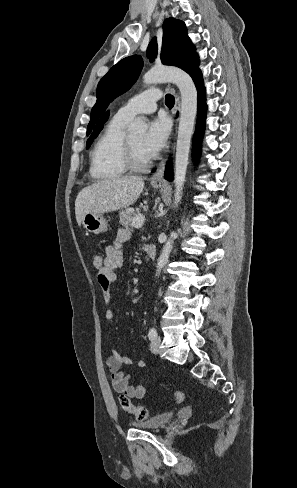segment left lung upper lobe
<instances>
[{
  "instance_id": "obj_1",
  "label": "left lung upper lobe",
  "mask_w": 297,
  "mask_h": 488,
  "mask_svg": "<svg viewBox=\"0 0 297 488\" xmlns=\"http://www.w3.org/2000/svg\"><path fill=\"white\" fill-rule=\"evenodd\" d=\"M156 55L157 41L153 38L147 49V57L153 61ZM161 60L165 65L181 68L191 77L201 72L195 47L188 38L186 26L182 21L174 18L164 21ZM142 68L141 56H129L114 65L100 80L97 87V102L91 111L87 134L109 103L125 93L136 82Z\"/></svg>"
}]
</instances>
